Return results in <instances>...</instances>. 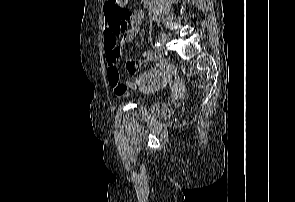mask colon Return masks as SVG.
Returning a JSON list of instances; mask_svg holds the SVG:
<instances>
[{"mask_svg":"<svg viewBox=\"0 0 295 202\" xmlns=\"http://www.w3.org/2000/svg\"><path fill=\"white\" fill-rule=\"evenodd\" d=\"M128 2L129 0H106L105 2L106 14L119 19L122 23V28L127 26L129 19V10L126 9Z\"/></svg>","mask_w":295,"mask_h":202,"instance_id":"5ec220e1","label":"colon"}]
</instances>
